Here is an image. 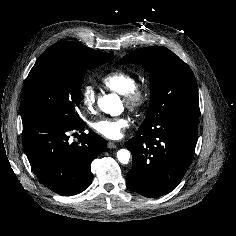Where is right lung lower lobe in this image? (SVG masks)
<instances>
[{
    "label": "right lung lower lobe",
    "instance_id": "98d812e1",
    "mask_svg": "<svg viewBox=\"0 0 236 236\" xmlns=\"http://www.w3.org/2000/svg\"><path fill=\"white\" fill-rule=\"evenodd\" d=\"M85 123L37 118L23 123V146L38 179L63 196L84 191L92 181L91 161L107 149L96 133H82L78 143H69L71 131L82 132Z\"/></svg>",
    "mask_w": 236,
    "mask_h": 236
}]
</instances>
